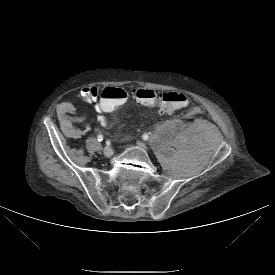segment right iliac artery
<instances>
[{"mask_svg":"<svg viewBox=\"0 0 275 275\" xmlns=\"http://www.w3.org/2000/svg\"><path fill=\"white\" fill-rule=\"evenodd\" d=\"M103 138H104V137H103L101 134L97 136V139H98L99 142H101V141L103 140ZM109 144H110V143H108V145H109Z\"/></svg>","mask_w":275,"mask_h":275,"instance_id":"obj_1","label":"right iliac artery"}]
</instances>
